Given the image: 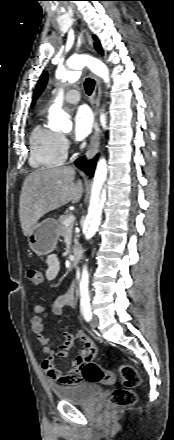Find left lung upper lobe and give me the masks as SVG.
I'll use <instances>...</instances> for the list:
<instances>
[{
  "instance_id": "left-lung-upper-lobe-1",
  "label": "left lung upper lobe",
  "mask_w": 174,
  "mask_h": 440,
  "mask_svg": "<svg viewBox=\"0 0 174 440\" xmlns=\"http://www.w3.org/2000/svg\"><path fill=\"white\" fill-rule=\"evenodd\" d=\"M94 40H96V42L94 43L96 50H97L99 53L103 54V50H102V48H101V45H100L99 41H97V37H96V36H94ZM47 77H48L47 72H44V73L41 75V77H40V79H39V81H38V84H37V86H36V89H35V91H34V95H33V103H34L35 100L38 98V96L42 93L43 89L45 88V85H46V83H47Z\"/></svg>"
}]
</instances>
